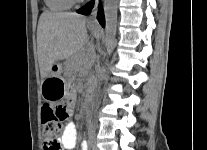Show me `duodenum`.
Listing matches in <instances>:
<instances>
[{
  "label": "duodenum",
  "instance_id": "duodenum-1",
  "mask_svg": "<svg viewBox=\"0 0 207 150\" xmlns=\"http://www.w3.org/2000/svg\"><path fill=\"white\" fill-rule=\"evenodd\" d=\"M94 88H95V84L94 82H91L88 89L89 98H91Z\"/></svg>",
  "mask_w": 207,
  "mask_h": 150
}]
</instances>
